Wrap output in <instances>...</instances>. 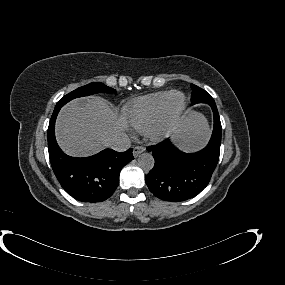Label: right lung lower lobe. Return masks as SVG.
<instances>
[{"label": "right lung lower lobe", "mask_w": 285, "mask_h": 285, "mask_svg": "<svg viewBox=\"0 0 285 285\" xmlns=\"http://www.w3.org/2000/svg\"><path fill=\"white\" fill-rule=\"evenodd\" d=\"M61 107H55L48 127V151L52 169L62 188L82 202H102L112 196L119 184L121 169L133 160L132 149L120 153L105 149L86 158L63 153L55 139V120Z\"/></svg>", "instance_id": "98d812e1"}]
</instances>
